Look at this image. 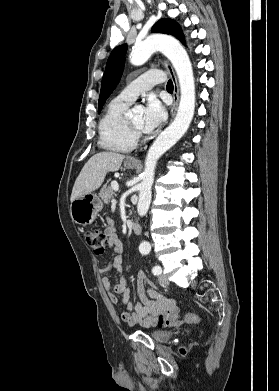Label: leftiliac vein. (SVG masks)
<instances>
[{
    "label": "left iliac vein",
    "mask_w": 279,
    "mask_h": 391,
    "mask_svg": "<svg viewBox=\"0 0 279 391\" xmlns=\"http://www.w3.org/2000/svg\"><path fill=\"white\" fill-rule=\"evenodd\" d=\"M159 282H160L162 285H168V284H169L168 279H167L165 276H163V275H160V276H159Z\"/></svg>",
    "instance_id": "1"
}]
</instances>
